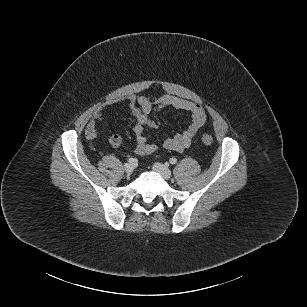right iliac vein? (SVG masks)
Wrapping results in <instances>:
<instances>
[{"label":"right iliac vein","instance_id":"obj_1","mask_svg":"<svg viewBox=\"0 0 307 307\" xmlns=\"http://www.w3.org/2000/svg\"><path fill=\"white\" fill-rule=\"evenodd\" d=\"M133 165L132 164H130V163H126L125 165H124V170H125V172L127 173V174H131L132 172H133Z\"/></svg>","mask_w":307,"mask_h":307}]
</instances>
